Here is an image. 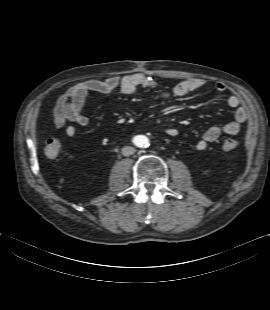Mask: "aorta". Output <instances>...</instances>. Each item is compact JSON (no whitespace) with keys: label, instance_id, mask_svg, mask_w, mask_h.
Instances as JSON below:
<instances>
[{"label":"aorta","instance_id":"762f6f07","mask_svg":"<svg viewBox=\"0 0 270 310\" xmlns=\"http://www.w3.org/2000/svg\"><path fill=\"white\" fill-rule=\"evenodd\" d=\"M148 138L146 136L143 135H139L137 137H135V144L138 147H146L148 145Z\"/></svg>","mask_w":270,"mask_h":310}]
</instances>
